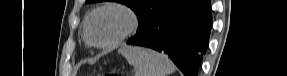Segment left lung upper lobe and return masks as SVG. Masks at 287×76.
I'll return each instance as SVG.
<instances>
[{
	"label": "left lung upper lobe",
	"instance_id": "1",
	"mask_svg": "<svg viewBox=\"0 0 287 76\" xmlns=\"http://www.w3.org/2000/svg\"><path fill=\"white\" fill-rule=\"evenodd\" d=\"M104 0H86L88 3L102 2ZM129 6L139 19V33L145 25L157 14L164 11L174 0H110Z\"/></svg>",
	"mask_w": 287,
	"mask_h": 76
}]
</instances>
